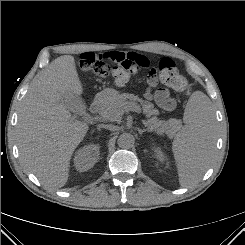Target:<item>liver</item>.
Returning <instances> with one entry per match:
<instances>
[{
	"mask_svg": "<svg viewBox=\"0 0 245 245\" xmlns=\"http://www.w3.org/2000/svg\"><path fill=\"white\" fill-rule=\"evenodd\" d=\"M82 93L75 59L63 55L42 72L23 99L16 130L19 156L45 187L67 183L72 154L88 131V125L74 120L62 101Z\"/></svg>",
	"mask_w": 245,
	"mask_h": 245,
	"instance_id": "6515ba94",
	"label": "liver"
}]
</instances>
